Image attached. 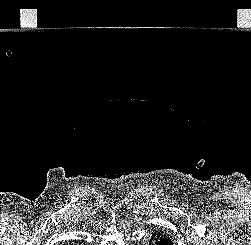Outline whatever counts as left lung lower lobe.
<instances>
[{
  "label": "left lung lower lobe",
  "instance_id": "0a47b994",
  "mask_svg": "<svg viewBox=\"0 0 251 245\" xmlns=\"http://www.w3.org/2000/svg\"><path fill=\"white\" fill-rule=\"evenodd\" d=\"M151 241L152 245H173L171 238L163 231H155Z\"/></svg>",
  "mask_w": 251,
  "mask_h": 245
}]
</instances>
